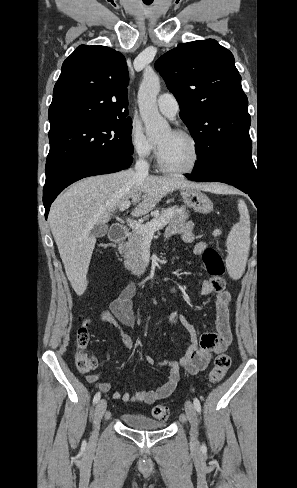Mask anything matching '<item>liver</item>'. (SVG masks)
Returning a JSON list of instances; mask_svg holds the SVG:
<instances>
[{
  "mask_svg": "<svg viewBox=\"0 0 297 488\" xmlns=\"http://www.w3.org/2000/svg\"><path fill=\"white\" fill-rule=\"evenodd\" d=\"M182 188L214 190L180 176L137 175L132 169L83 179L71 185L52 204L48 220L65 267L78 296L87 288V272L96 244L95 224H106L121 203L132 199V215L148 214L168 193Z\"/></svg>",
  "mask_w": 297,
  "mask_h": 488,
  "instance_id": "1",
  "label": "liver"
}]
</instances>
